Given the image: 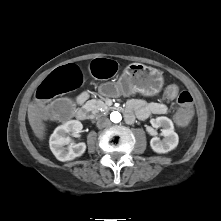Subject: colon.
Returning <instances> with one entry per match:
<instances>
[{
  "instance_id": "colon-1",
  "label": "colon",
  "mask_w": 221,
  "mask_h": 221,
  "mask_svg": "<svg viewBox=\"0 0 221 221\" xmlns=\"http://www.w3.org/2000/svg\"><path fill=\"white\" fill-rule=\"evenodd\" d=\"M117 64L108 59L96 60L91 65V71L97 78H108L115 73ZM83 82V75L75 65H67L53 71L38 87L36 97L45 102L59 95L77 89ZM164 98L168 102H178L176 113L177 122L185 126L194 117L193 99L190 93L180 92L176 84L169 85L164 91ZM40 106L39 102L35 103ZM78 108V101L73 96H63L43 106L40 117L48 122L64 121Z\"/></svg>"
}]
</instances>
